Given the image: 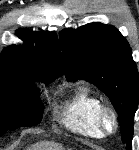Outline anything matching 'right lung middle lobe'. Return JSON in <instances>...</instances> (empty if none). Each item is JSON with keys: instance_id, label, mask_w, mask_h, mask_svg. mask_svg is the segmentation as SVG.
Instances as JSON below:
<instances>
[{"instance_id": "1", "label": "right lung middle lobe", "mask_w": 139, "mask_h": 150, "mask_svg": "<svg viewBox=\"0 0 139 150\" xmlns=\"http://www.w3.org/2000/svg\"><path fill=\"white\" fill-rule=\"evenodd\" d=\"M35 81L39 80L24 74L0 72V135L40 123L43 105Z\"/></svg>"}]
</instances>
